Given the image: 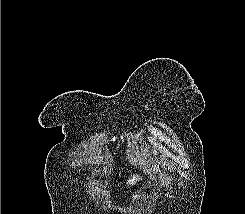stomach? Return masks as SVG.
<instances>
[{
    "mask_svg": "<svg viewBox=\"0 0 245 214\" xmlns=\"http://www.w3.org/2000/svg\"><path fill=\"white\" fill-rule=\"evenodd\" d=\"M139 180H140V176L138 174L132 175L128 180V184H135Z\"/></svg>",
    "mask_w": 245,
    "mask_h": 214,
    "instance_id": "obj_1",
    "label": "stomach"
}]
</instances>
